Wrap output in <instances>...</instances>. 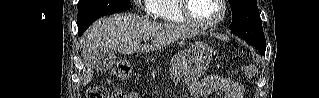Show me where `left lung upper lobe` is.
I'll return each instance as SVG.
<instances>
[{"label": "left lung upper lobe", "instance_id": "left-lung-upper-lobe-1", "mask_svg": "<svg viewBox=\"0 0 319 98\" xmlns=\"http://www.w3.org/2000/svg\"><path fill=\"white\" fill-rule=\"evenodd\" d=\"M233 20L229 29L256 48L265 49L266 42L257 0H229Z\"/></svg>", "mask_w": 319, "mask_h": 98}]
</instances>
